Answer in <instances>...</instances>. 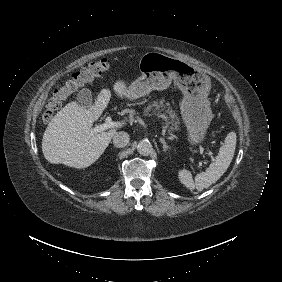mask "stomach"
Masks as SVG:
<instances>
[{
  "mask_svg": "<svg viewBox=\"0 0 282 282\" xmlns=\"http://www.w3.org/2000/svg\"><path fill=\"white\" fill-rule=\"evenodd\" d=\"M139 70L142 75L127 88L128 98L133 100V94L143 97L152 90H165L174 81L184 94L180 109L188 140L191 144L201 143L214 117L208 100L210 78L183 60L155 51L141 57Z\"/></svg>",
  "mask_w": 282,
  "mask_h": 282,
  "instance_id": "obj_1",
  "label": "stomach"
}]
</instances>
